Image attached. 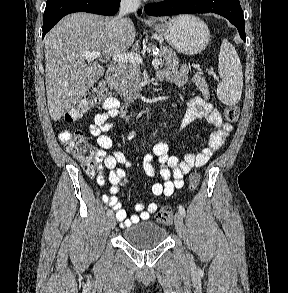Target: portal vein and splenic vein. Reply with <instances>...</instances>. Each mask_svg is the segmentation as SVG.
I'll use <instances>...</instances> for the list:
<instances>
[{"mask_svg": "<svg viewBox=\"0 0 288 293\" xmlns=\"http://www.w3.org/2000/svg\"><path fill=\"white\" fill-rule=\"evenodd\" d=\"M82 56L87 60V61H92L94 59L100 58L101 53L97 51L93 52H84ZM112 59L116 62L119 63H125V62H130V63H135V64H142L143 59L142 57L135 52H130V53H118L113 55ZM160 64V61L158 58L153 59L152 65L157 67Z\"/></svg>", "mask_w": 288, "mask_h": 293, "instance_id": "portal-vein-and-splenic-vein-1", "label": "portal vein and splenic vein"}]
</instances>
